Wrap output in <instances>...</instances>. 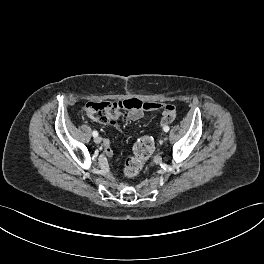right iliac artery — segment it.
Returning <instances> with one entry per match:
<instances>
[{"label": "right iliac artery", "mask_w": 264, "mask_h": 264, "mask_svg": "<svg viewBox=\"0 0 264 264\" xmlns=\"http://www.w3.org/2000/svg\"><path fill=\"white\" fill-rule=\"evenodd\" d=\"M92 134H93L94 137H97L98 136V132L95 131V130L92 132Z\"/></svg>", "instance_id": "1"}]
</instances>
